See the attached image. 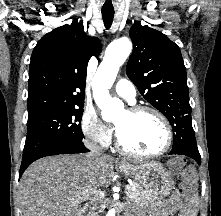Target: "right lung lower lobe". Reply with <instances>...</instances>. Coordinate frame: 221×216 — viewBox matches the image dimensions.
<instances>
[{"label":"right lung lower lobe","mask_w":221,"mask_h":216,"mask_svg":"<svg viewBox=\"0 0 221 216\" xmlns=\"http://www.w3.org/2000/svg\"><path fill=\"white\" fill-rule=\"evenodd\" d=\"M88 151L89 150L84 146L83 141L63 142L60 144L52 145L41 151H38L37 153H34L28 157L23 158L20 171H19V177H21L25 169L32 162L42 157L51 156V155H59V154L85 153Z\"/></svg>","instance_id":"98d812e1"}]
</instances>
